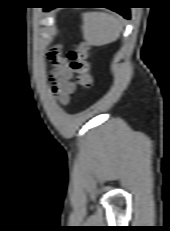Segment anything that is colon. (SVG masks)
<instances>
[{
  "mask_svg": "<svg viewBox=\"0 0 170 231\" xmlns=\"http://www.w3.org/2000/svg\"><path fill=\"white\" fill-rule=\"evenodd\" d=\"M70 70L77 76L78 83L85 89L93 85L92 65L90 61V46L85 42L75 45L69 52Z\"/></svg>",
  "mask_w": 170,
  "mask_h": 231,
  "instance_id": "obj_1",
  "label": "colon"
}]
</instances>
